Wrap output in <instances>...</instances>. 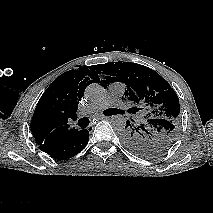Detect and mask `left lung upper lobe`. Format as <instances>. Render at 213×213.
<instances>
[{
  "label": "left lung upper lobe",
  "mask_w": 213,
  "mask_h": 213,
  "mask_svg": "<svg viewBox=\"0 0 213 213\" xmlns=\"http://www.w3.org/2000/svg\"><path fill=\"white\" fill-rule=\"evenodd\" d=\"M97 70L106 74L102 83H125L129 100L136 104L131 112L140 111L139 122L130 125L127 121L122 133L124 145L143 157H155L168 150L180 128L179 98L169 83L154 70L132 62L106 63L98 65Z\"/></svg>",
  "instance_id": "1"
}]
</instances>
